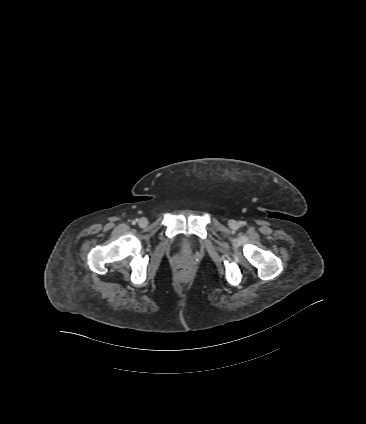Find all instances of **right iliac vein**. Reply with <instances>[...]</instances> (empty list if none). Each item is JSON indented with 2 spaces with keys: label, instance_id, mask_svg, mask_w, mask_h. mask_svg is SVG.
Returning a JSON list of instances; mask_svg holds the SVG:
<instances>
[{
  "label": "right iliac vein",
  "instance_id": "1",
  "mask_svg": "<svg viewBox=\"0 0 366 424\" xmlns=\"http://www.w3.org/2000/svg\"><path fill=\"white\" fill-rule=\"evenodd\" d=\"M148 225V220L146 218L139 219V226L144 228Z\"/></svg>",
  "mask_w": 366,
  "mask_h": 424
}]
</instances>
